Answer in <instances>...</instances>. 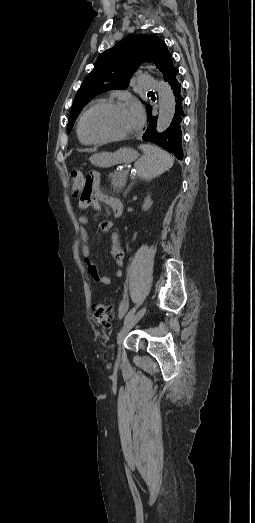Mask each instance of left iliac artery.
I'll use <instances>...</instances> for the list:
<instances>
[{"label": "left iliac artery", "instance_id": "left-iliac-artery-1", "mask_svg": "<svg viewBox=\"0 0 255 523\" xmlns=\"http://www.w3.org/2000/svg\"><path fill=\"white\" fill-rule=\"evenodd\" d=\"M138 306L133 307L125 316L124 323H126L135 313Z\"/></svg>", "mask_w": 255, "mask_h": 523}]
</instances>
